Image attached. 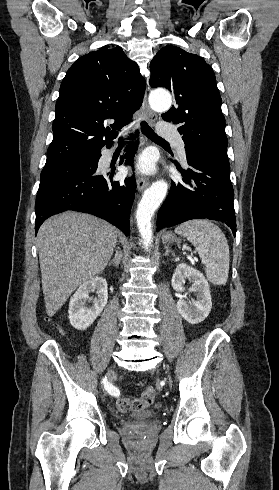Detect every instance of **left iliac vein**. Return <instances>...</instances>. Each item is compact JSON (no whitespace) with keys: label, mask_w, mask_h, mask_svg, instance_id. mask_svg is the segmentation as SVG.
I'll use <instances>...</instances> for the list:
<instances>
[{"label":"left iliac vein","mask_w":279,"mask_h":490,"mask_svg":"<svg viewBox=\"0 0 279 490\" xmlns=\"http://www.w3.org/2000/svg\"><path fill=\"white\" fill-rule=\"evenodd\" d=\"M169 382H170V383L172 382L171 378H169Z\"/></svg>","instance_id":"left-iliac-vein-1"}]
</instances>
